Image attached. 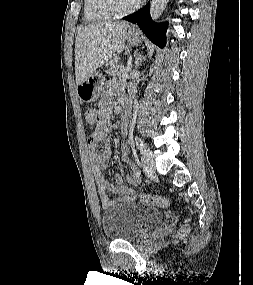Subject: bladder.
Masks as SVG:
<instances>
[{"instance_id":"31cf9c89","label":"bladder","mask_w":253,"mask_h":285,"mask_svg":"<svg viewBox=\"0 0 253 285\" xmlns=\"http://www.w3.org/2000/svg\"><path fill=\"white\" fill-rule=\"evenodd\" d=\"M163 212L136 202H120L102 214V229L106 238L133 241L163 221Z\"/></svg>"}]
</instances>
